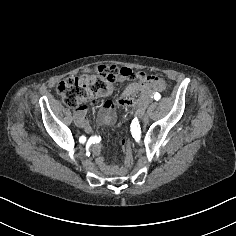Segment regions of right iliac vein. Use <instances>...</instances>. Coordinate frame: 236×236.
I'll list each match as a JSON object with an SVG mask.
<instances>
[{"mask_svg": "<svg viewBox=\"0 0 236 236\" xmlns=\"http://www.w3.org/2000/svg\"><path fill=\"white\" fill-rule=\"evenodd\" d=\"M83 131H84V132H87V131H88V132L90 133L92 130H91L90 128L88 129L87 127H84V128H83Z\"/></svg>", "mask_w": 236, "mask_h": 236, "instance_id": "obj_1", "label": "right iliac vein"}]
</instances>
